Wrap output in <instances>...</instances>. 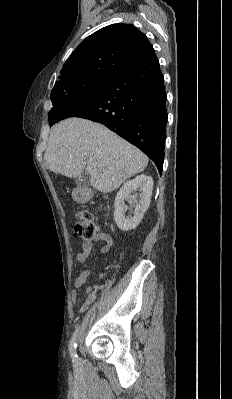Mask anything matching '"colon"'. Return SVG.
Segmentation results:
<instances>
[{
  "label": "colon",
  "instance_id": "obj_1",
  "mask_svg": "<svg viewBox=\"0 0 232 399\" xmlns=\"http://www.w3.org/2000/svg\"><path fill=\"white\" fill-rule=\"evenodd\" d=\"M84 219V223H82ZM74 238L81 236L84 240H89L93 237V232H96L95 224L92 221V215L85 214V211L77 213V218H74ZM93 297H98V286H93Z\"/></svg>",
  "mask_w": 232,
  "mask_h": 399
}]
</instances>
